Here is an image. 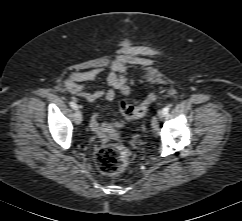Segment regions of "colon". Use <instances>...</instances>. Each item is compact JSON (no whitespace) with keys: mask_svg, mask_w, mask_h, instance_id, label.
I'll return each instance as SVG.
<instances>
[{"mask_svg":"<svg viewBox=\"0 0 242 221\" xmlns=\"http://www.w3.org/2000/svg\"><path fill=\"white\" fill-rule=\"evenodd\" d=\"M155 100V93L149 96L138 106L121 103L120 112L127 119L145 115ZM98 169L106 176L114 177L123 174L129 168L132 155L130 150L120 144H107L99 147L95 154Z\"/></svg>","mask_w":242,"mask_h":221,"instance_id":"1","label":"colon"}]
</instances>
